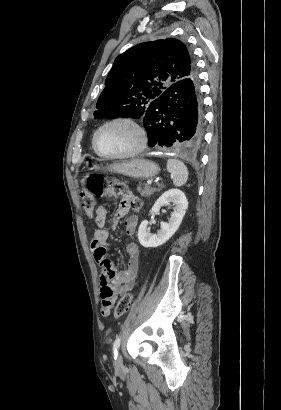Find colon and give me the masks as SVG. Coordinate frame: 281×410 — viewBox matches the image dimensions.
Returning <instances> with one entry per match:
<instances>
[{
  "mask_svg": "<svg viewBox=\"0 0 281 410\" xmlns=\"http://www.w3.org/2000/svg\"><path fill=\"white\" fill-rule=\"evenodd\" d=\"M105 180L100 174L92 173L84 177V188L81 192L82 206L87 214H91L94 208L95 199L104 194ZM114 191L120 194H126V189L123 185H116ZM134 300V294L124 295L116 304L114 317L120 318L125 315L131 308ZM111 307V301L108 298L103 303V312H107Z\"/></svg>",
  "mask_w": 281,
  "mask_h": 410,
  "instance_id": "colon-1",
  "label": "colon"
}]
</instances>
